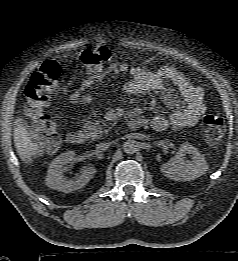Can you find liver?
Returning <instances> with one entry per match:
<instances>
[{"label": "liver", "instance_id": "1", "mask_svg": "<svg viewBox=\"0 0 238 261\" xmlns=\"http://www.w3.org/2000/svg\"><path fill=\"white\" fill-rule=\"evenodd\" d=\"M14 143L18 155L22 161L28 163L35 154L37 145L32 142V137L26 124L20 119L14 124Z\"/></svg>", "mask_w": 238, "mask_h": 261}]
</instances>
